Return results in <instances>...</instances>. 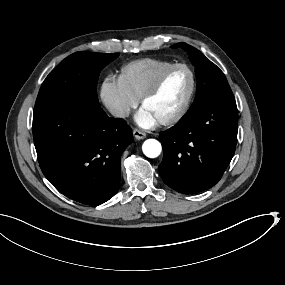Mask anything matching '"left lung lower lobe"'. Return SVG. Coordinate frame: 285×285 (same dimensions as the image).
<instances>
[{
    "label": "left lung lower lobe",
    "instance_id": "1",
    "mask_svg": "<svg viewBox=\"0 0 285 285\" xmlns=\"http://www.w3.org/2000/svg\"><path fill=\"white\" fill-rule=\"evenodd\" d=\"M235 99H215L192 108L171 129L160 133L166 185L183 194L209 189L221 179L236 147Z\"/></svg>",
    "mask_w": 285,
    "mask_h": 285
}]
</instances>
